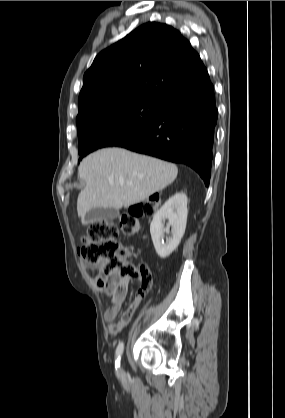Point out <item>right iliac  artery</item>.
I'll return each mask as SVG.
<instances>
[{"label":"right iliac artery","mask_w":285,"mask_h":418,"mask_svg":"<svg viewBox=\"0 0 285 418\" xmlns=\"http://www.w3.org/2000/svg\"><path fill=\"white\" fill-rule=\"evenodd\" d=\"M123 350H124V344H123V342H120L118 344V346L116 348V352H115V358H116L115 359V366H116V371H117V368L120 367V358H121V355L123 353Z\"/></svg>","instance_id":"82829eb1"}]
</instances>
